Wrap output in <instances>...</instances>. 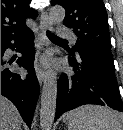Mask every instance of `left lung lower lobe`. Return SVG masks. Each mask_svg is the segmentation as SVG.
<instances>
[{
  "instance_id": "obj_1",
  "label": "left lung lower lobe",
  "mask_w": 123,
  "mask_h": 130,
  "mask_svg": "<svg viewBox=\"0 0 123 130\" xmlns=\"http://www.w3.org/2000/svg\"><path fill=\"white\" fill-rule=\"evenodd\" d=\"M68 60L74 74H63L58 80L55 120L85 104L109 106L123 112L113 61L87 53L76 57L69 53Z\"/></svg>"
}]
</instances>
